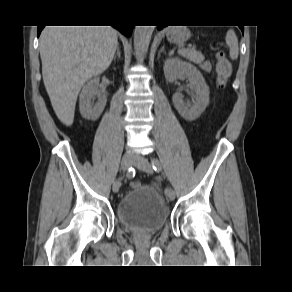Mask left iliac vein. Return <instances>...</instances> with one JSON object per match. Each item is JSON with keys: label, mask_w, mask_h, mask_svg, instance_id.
Returning a JSON list of instances; mask_svg holds the SVG:
<instances>
[{"label": "left iliac vein", "mask_w": 292, "mask_h": 292, "mask_svg": "<svg viewBox=\"0 0 292 292\" xmlns=\"http://www.w3.org/2000/svg\"><path fill=\"white\" fill-rule=\"evenodd\" d=\"M133 164L134 166H136L139 170H142L146 173H152L153 172V168L152 165L150 164V162L144 158L143 156L137 154L135 156H133ZM166 197L168 198V200L173 201L175 199V193L174 191L171 189L167 194Z\"/></svg>", "instance_id": "4c4485c4"}]
</instances>
